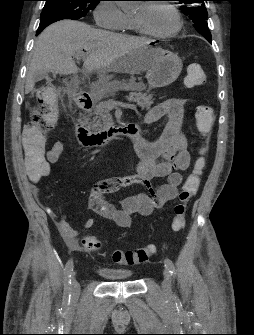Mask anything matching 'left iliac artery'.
I'll return each mask as SVG.
<instances>
[{
    "mask_svg": "<svg viewBox=\"0 0 254 335\" xmlns=\"http://www.w3.org/2000/svg\"><path fill=\"white\" fill-rule=\"evenodd\" d=\"M164 263H165V267L168 269V271L171 274V276L174 277V275H175V266H174V263L169 258H166L164 260Z\"/></svg>",
    "mask_w": 254,
    "mask_h": 335,
    "instance_id": "obj_1",
    "label": "left iliac artery"
}]
</instances>
